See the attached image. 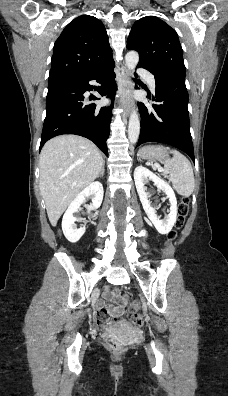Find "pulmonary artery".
<instances>
[{
  "label": "pulmonary artery",
  "mask_w": 228,
  "mask_h": 396,
  "mask_svg": "<svg viewBox=\"0 0 228 396\" xmlns=\"http://www.w3.org/2000/svg\"><path fill=\"white\" fill-rule=\"evenodd\" d=\"M139 75L146 78L148 80L149 86L152 90H155L156 84L153 75L147 71L146 69H139Z\"/></svg>",
  "instance_id": "e3ab8cb5"
}]
</instances>
